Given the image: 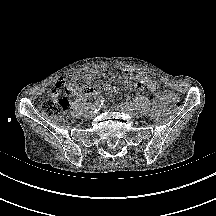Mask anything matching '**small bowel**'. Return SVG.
Listing matches in <instances>:
<instances>
[{
  "label": "small bowel",
  "mask_w": 216,
  "mask_h": 216,
  "mask_svg": "<svg viewBox=\"0 0 216 216\" xmlns=\"http://www.w3.org/2000/svg\"><path fill=\"white\" fill-rule=\"evenodd\" d=\"M122 78L125 79L133 88L137 90H147L155 95V101L152 109V116L159 119L165 112L166 103L168 102L167 92L159 91L155 80L144 73L135 74L131 69H124L121 72ZM107 79L117 82L119 77L114 73L107 74ZM115 88L107 83H97L91 86L77 85L72 93L79 97H90L101 92H114Z\"/></svg>",
  "instance_id": "c3829d8e"
}]
</instances>
